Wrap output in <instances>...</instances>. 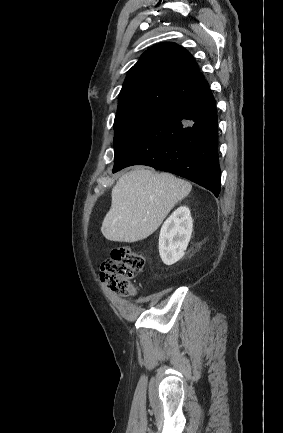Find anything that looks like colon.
Instances as JSON below:
<instances>
[{
    "label": "colon",
    "mask_w": 283,
    "mask_h": 433,
    "mask_svg": "<svg viewBox=\"0 0 283 433\" xmlns=\"http://www.w3.org/2000/svg\"><path fill=\"white\" fill-rule=\"evenodd\" d=\"M145 258L142 253L130 247L112 250L110 257L101 265L100 278L109 288L121 296L134 294L131 279L142 271Z\"/></svg>",
    "instance_id": "obj_1"
}]
</instances>
